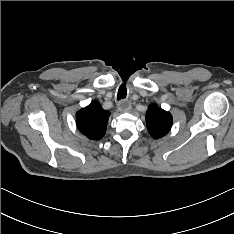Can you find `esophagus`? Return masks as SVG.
I'll return each mask as SVG.
<instances>
[{"label": "esophagus", "mask_w": 234, "mask_h": 234, "mask_svg": "<svg viewBox=\"0 0 234 234\" xmlns=\"http://www.w3.org/2000/svg\"><path fill=\"white\" fill-rule=\"evenodd\" d=\"M118 109L121 112H129L131 110V103L129 101H122L118 103Z\"/></svg>", "instance_id": "esophagus-1"}]
</instances>
